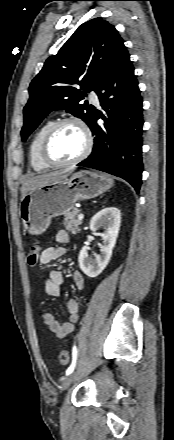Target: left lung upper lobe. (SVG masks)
<instances>
[{"label": "left lung upper lobe", "instance_id": "obj_1", "mask_svg": "<svg viewBox=\"0 0 174 440\" xmlns=\"http://www.w3.org/2000/svg\"><path fill=\"white\" fill-rule=\"evenodd\" d=\"M123 42L115 27L102 18L79 26L32 80L30 98L23 110L22 140L55 109H66L88 124L95 108L79 102L88 92L97 91L103 76L125 48Z\"/></svg>", "mask_w": 174, "mask_h": 440}]
</instances>
